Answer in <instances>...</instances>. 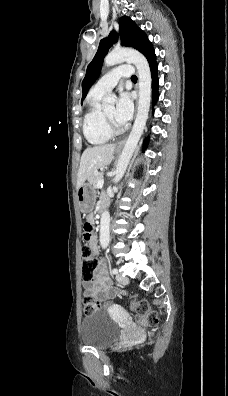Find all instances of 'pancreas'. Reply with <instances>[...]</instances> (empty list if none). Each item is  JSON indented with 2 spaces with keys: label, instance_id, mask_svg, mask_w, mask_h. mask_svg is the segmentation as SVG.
<instances>
[{
  "label": "pancreas",
  "instance_id": "obj_1",
  "mask_svg": "<svg viewBox=\"0 0 228 396\" xmlns=\"http://www.w3.org/2000/svg\"><path fill=\"white\" fill-rule=\"evenodd\" d=\"M103 178V173L99 172L96 174H93L90 178H89V183L91 184V186L93 188L97 187V183L99 180H101Z\"/></svg>",
  "mask_w": 228,
  "mask_h": 396
}]
</instances>
